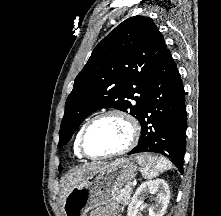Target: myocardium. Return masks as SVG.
Returning a JSON list of instances; mask_svg holds the SVG:
<instances>
[{
  "mask_svg": "<svg viewBox=\"0 0 221 216\" xmlns=\"http://www.w3.org/2000/svg\"><path fill=\"white\" fill-rule=\"evenodd\" d=\"M118 117L121 120H123L129 127V139L127 141V143L120 148L119 150L113 151V152H108V153H103V154H90L87 152L86 148H85V135L88 131V129L97 121L104 119L106 117ZM141 134V128L140 125L137 121V119L132 116L129 112L122 110V109H117V108H113V109H109L106 110L94 117H92L82 128V130L80 131V135L78 138V148L79 151L82 155L91 158V159H104V158H113L122 154H125L126 152H128L129 150H131L136 143L139 140Z\"/></svg>",
  "mask_w": 221,
  "mask_h": 216,
  "instance_id": "obj_1",
  "label": "myocardium"
}]
</instances>
